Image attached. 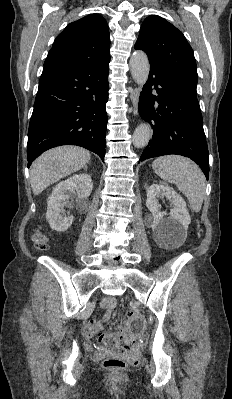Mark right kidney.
Here are the masks:
<instances>
[{"mask_svg":"<svg viewBox=\"0 0 232 399\" xmlns=\"http://www.w3.org/2000/svg\"><path fill=\"white\" fill-rule=\"evenodd\" d=\"M92 188L91 176H88V174H76V176H71V178L60 182V184H57L53 188L52 194L47 200L46 211V219L49 221L52 229L65 231V229L70 227L74 215H67L69 211L67 213L64 211L65 205H70L71 198L77 196V205L80 207L83 201L89 198Z\"/></svg>","mask_w":232,"mask_h":399,"instance_id":"obj_1","label":"right kidney"}]
</instances>
